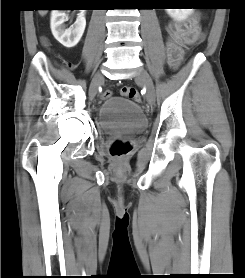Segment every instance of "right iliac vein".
<instances>
[{"instance_id":"right-iliac-vein-1","label":"right iliac vein","mask_w":245,"mask_h":278,"mask_svg":"<svg viewBox=\"0 0 245 278\" xmlns=\"http://www.w3.org/2000/svg\"><path fill=\"white\" fill-rule=\"evenodd\" d=\"M104 80V76L101 72H97L91 82L90 88H89V97L90 99H94L97 91H98V87L102 84Z\"/></svg>"}]
</instances>
